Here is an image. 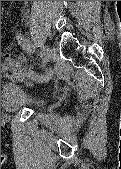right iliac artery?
I'll list each match as a JSON object with an SVG mask.
<instances>
[{
	"label": "right iliac artery",
	"instance_id": "obj_1",
	"mask_svg": "<svg viewBox=\"0 0 121 169\" xmlns=\"http://www.w3.org/2000/svg\"><path fill=\"white\" fill-rule=\"evenodd\" d=\"M17 39L19 43H21L23 47L26 48L29 52H32V51L34 52L35 47L31 44L29 39L25 38L21 34L17 35ZM30 78L38 82L47 81L49 79L48 75H44V74L42 75V74H36V73H32Z\"/></svg>",
	"mask_w": 121,
	"mask_h": 169
}]
</instances>
